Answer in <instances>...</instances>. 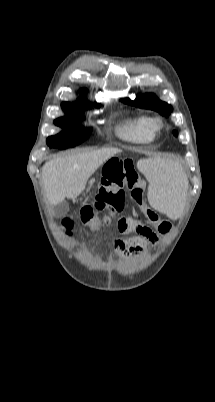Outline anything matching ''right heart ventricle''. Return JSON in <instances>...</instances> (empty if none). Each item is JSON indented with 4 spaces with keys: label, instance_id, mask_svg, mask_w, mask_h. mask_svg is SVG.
<instances>
[{
    "label": "right heart ventricle",
    "instance_id": "1",
    "mask_svg": "<svg viewBox=\"0 0 215 402\" xmlns=\"http://www.w3.org/2000/svg\"><path fill=\"white\" fill-rule=\"evenodd\" d=\"M155 133L151 118L147 115L128 116L116 127V134L121 140L136 144L152 141Z\"/></svg>",
    "mask_w": 215,
    "mask_h": 402
}]
</instances>
